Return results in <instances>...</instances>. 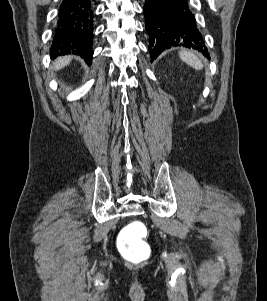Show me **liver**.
I'll use <instances>...</instances> for the list:
<instances>
[{"label":"liver","mask_w":267,"mask_h":301,"mask_svg":"<svg viewBox=\"0 0 267 301\" xmlns=\"http://www.w3.org/2000/svg\"><path fill=\"white\" fill-rule=\"evenodd\" d=\"M71 57L70 56H65V57H59L56 59L54 63V69L55 70H60L67 66L71 62Z\"/></svg>","instance_id":"6515ba94"}]
</instances>
